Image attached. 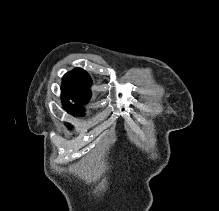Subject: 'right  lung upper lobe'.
Here are the masks:
<instances>
[{
	"instance_id": "obj_1",
	"label": "right lung upper lobe",
	"mask_w": 219,
	"mask_h": 211,
	"mask_svg": "<svg viewBox=\"0 0 219 211\" xmlns=\"http://www.w3.org/2000/svg\"><path fill=\"white\" fill-rule=\"evenodd\" d=\"M91 83L90 75L82 69H76L65 74L61 88L63 103L70 104L69 98L78 103L87 102L91 96L89 89Z\"/></svg>"
}]
</instances>
